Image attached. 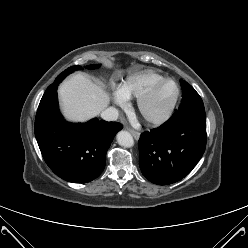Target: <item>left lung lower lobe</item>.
I'll list each match as a JSON object with an SVG mask.
<instances>
[{"mask_svg": "<svg viewBox=\"0 0 248 248\" xmlns=\"http://www.w3.org/2000/svg\"><path fill=\"white\" fill-rule=\"evenodd\" d=\"M142 174L152 183H175L195 167L206 147L204 106L175 112L159 128L142 133L138 142Z\"/></svg>", "mask_w": 248, "mask_h": 248, "instance_id": "0a47b994", "label": "left lung lower lobe"}]
</instances>
